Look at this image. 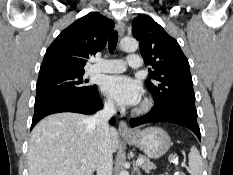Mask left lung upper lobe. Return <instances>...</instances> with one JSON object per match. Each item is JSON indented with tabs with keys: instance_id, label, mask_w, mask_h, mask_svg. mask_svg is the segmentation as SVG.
<instances>
[{
	"instance_id": "1",
	"label": "left lung upper lobe",
	"mask_w": 233,
	"mask_h": 175,
	"mask_svg": "<svg viewBox=\"0 0 233 175\" xmlns=\"http://www.w3.org/2000/svg\"><path fill=\"white\" fill-rule=\"evenodd\" d=\"M132 33L148 65L146 87L154 98V110L181 101L195 102L189 63L178 42L152 18L140 15L133 20Z\"/></svg>"
}]
</instances>
